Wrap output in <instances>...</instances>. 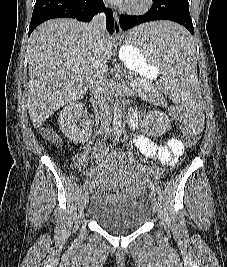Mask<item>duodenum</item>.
Instances as JSON below:
<instances>
[{
	"label": "duodenum",
	"mask_w": 227,
	"mask_h": 267,
	"mask_svg": "<svg viewBox=\"0 0 227 267\" xmlns=\"http://www.w3.org/2000/svg\"><path fill=\"white\" fill-rule=\"evenodd\" d=\"M91 104L94 106V103H93V101H91Z\"/></svg>",
	"instance_id": "410a0bca"
}]
</instances>
